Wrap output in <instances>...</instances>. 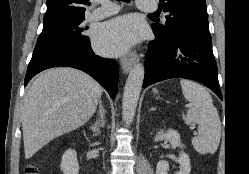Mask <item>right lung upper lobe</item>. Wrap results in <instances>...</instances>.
Listing matches in <instances>:
<instances>
[{"instance_id":"cb5924a9","label":"right lung upper lobe","mask_w":249,"mask_h":174,"mask_svg":"<svg viewBox=\"0 0 249 174\" xmlns=\"http://www.w3.org/2000/svg\"><path fill=\"white\" fill-rule=\"evenodd\" d=\"M89 0H47V12L44 17V26L84 17Z\"/></svg>"}]
</instances>
